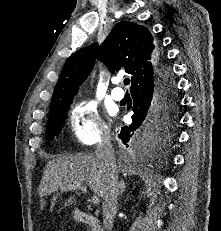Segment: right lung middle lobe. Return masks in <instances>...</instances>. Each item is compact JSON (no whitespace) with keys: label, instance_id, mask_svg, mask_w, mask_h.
<instances>
[{"label":"right lung middle lobe","instance_id":"1","mask_svg":"<svg viewBox=\"0 0 221 231\" xmlns=\"http://www.w3.org/2000/svg\"><path fill=\"white\" fill-rule=\"evenodd\" d=\"M72 99L65 101L55 111L50 113L46 132L49 140H52L55 135L61 132ZM177 108L178 98L170 99L163 97L157 104L153 105L148 118L141 128L151 144H159L163 137L167 135L169 128L176 121Z\"/></svg>","mask_w":221,"mask_h":231}]
</instances>
